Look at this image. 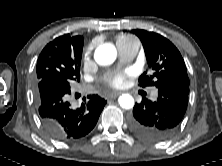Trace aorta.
Returning <instances> with one entry per match:
<instances>
[{"label":"aorta","instance_id":"obj_1","mask_svg":"<svg viewBox=\"0 0 222 166\" xmlns=\"http://www.w3.org/2000/svg\"><path fill=\"white\" fill-rule=\"evenodd\" d=\"M116 57V48L111 43L99 45L94 53L95 61L102 66L112 64ZM118 102L123 109H131L134 106V98L130 94H122L119 97Z\"/></svg>","mask_w":222,"mask_h":166}]
</instances>
